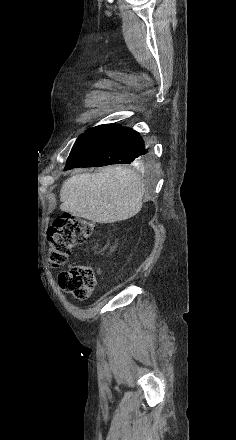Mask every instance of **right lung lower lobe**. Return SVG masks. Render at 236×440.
I'll return each instance as SVG.
<instances>
[{"label":"right lung lower lobe","instance_id":"right-lung-lower-lobe-1","mask_svg":"<svg viewBox=\"0 0 236 440\" xmlns=\"http://www.w3.org/2000/svg\"><path fill=\"white\" fill-rule=\"evenodd\" d=\"M145 154V144L138 132L117 124L100 125L78 137L65 170L75 167L130 164L139 161Z\"/></svg>","mask_w":236,"mask_h":440}]
</instances>
